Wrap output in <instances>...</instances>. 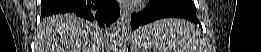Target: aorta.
I'll return each instance as SVG.
<instances>
[{"mask_svg": "<svg viewBox=\"0 0 261 52\" xmlns=\"http://www.w3.org/2000/svg\"><path fill=\"white\" fill-rule=\"evenodd\" d=\"M128 32L129 23L124 21H119L118 23H116L111 32V41L114 45V49L118 50L122 48Z\"/></svg>", "mask_w": 261, "mask_h": 52, "instance_id": "obj_1", "label": "aorta"}]
</instances>
